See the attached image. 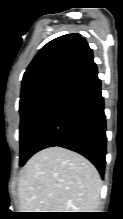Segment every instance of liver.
<instances>
[{
  "label": "liver",
  "mask_w": 123,
  "mask_h": 219,
  "mask_svg": "<svg viewBox=\"0 0 123 219\" xmlns=\"http://www.w3.org/2000/svg\"><path fill=\"white\" fill-rule=\"evenodd\" d=\"M101 178L82 155L54 146L33 155L18 183L21 212H97Z\"/></svg>",
  "instance_id": "1"
}]
</instances>
